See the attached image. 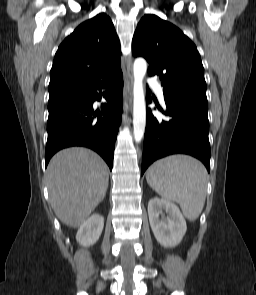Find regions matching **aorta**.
Here are the masks:
<instances>
[{"mask_svg":"<svg viewBox=\"0 0 256 295\" xmlns=\"http://www.w3.org/2000/svg\"><path fill=\"white\" fill-rule=\"evenodd\" d=\"M147 71V63L143 58L134 61L133 74V134L136 142L144 136L146 126V106L143 89V79Z\"/></svg>","mask_w":256,"mask_h":295,"instance_id":"1","label":"aorta"}]
</instances>
